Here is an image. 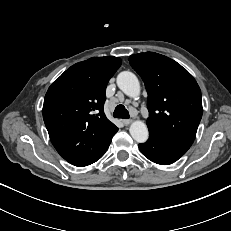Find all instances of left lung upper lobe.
<instances>
[{"instance_id":"left-lung-upper-lobe-1","label":"left lung upper lobe","mask_w":231,"mask_h":231,"mask_svg":"<svg viewBox=\"0 0 231 231\" xmlns=\"http://www.w3.org/2000/svg\"><path fill=\"white\" fill-rule=\"evenodd\" d=\"M129 62L148 92L149 132L189 149L202 117L201 91L193 76L154 52L132 55Z\"/></svg>"}]
</instances>
